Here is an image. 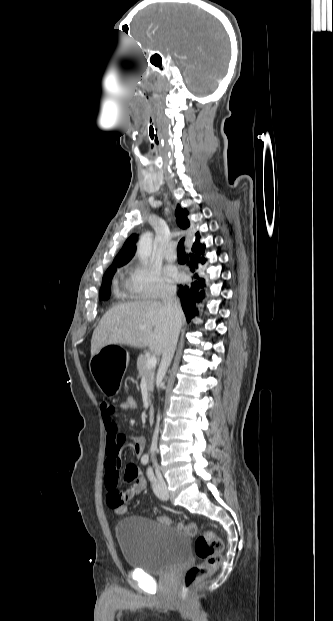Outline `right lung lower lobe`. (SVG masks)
<instances>
[{
    "label": "right lung lower lobe",
    "mask_w": 333,
    "mask_h": 621,
    "mask_svg": "<svg viewBox=\"0 0 333 621\" xmlns=\"http://www.w3.org/2000/svg\"><path fill=\"white\" fill-rule=\"evenodd\" d=\"M204 250V245L192 246L191 253H189L190 262L188 265L193 273L197 272L206 261L204 258ZM194 278L197 279V281L193 282L191 286L179 285L178 296L181 299V305L187 320H190L198 314L196 304L204 298V294L202 291L199 292V289L205 286V281L203 278H199L197 273L194 274Z\"/></svg>",
    "instance_id": "1"
}]
</instances>
